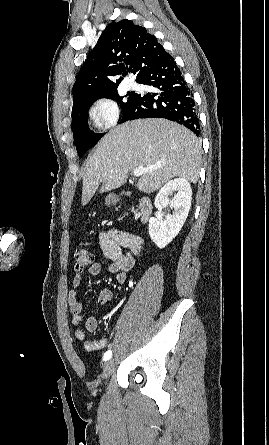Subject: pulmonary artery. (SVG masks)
Listing matches in <instances>:
<instances>
[{"instance_id": "obj_1", "label": "pulmonary artery", "mask_w": 269, "mask_h": 445, "mask_svg": "<svg viewBox=\"0 0 269 445\" xmlns=\"http://www.w3.org/2000/svg\"><path fill=\"white\" fill-rule=\"evenodd\" d=\"M129 87L130 88H134L135 87V83H129Z\"/></svg>"}]
</instances>
